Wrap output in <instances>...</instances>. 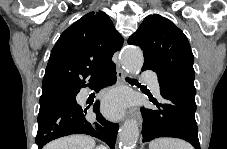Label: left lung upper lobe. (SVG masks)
<instances>
[{
    "mask_svg": "<svg viewBox=\"0 0 227 149\" xmlns=\"http://www.w3.org/2000/svg\"><path fill=\"white\" fill-rule=\"evenodd\" d=\"M143 50L144 66L172 85L195 95L194 56L185 34L161 15L147 16L128 39Z\"/></svg>",
    "mask_w": 227,
    "mask_h": 149,
    "instance_id": "1",
    "label": "left lung upper lobe"
}]
</instances>
